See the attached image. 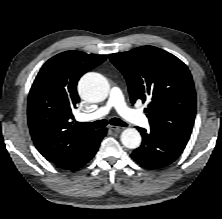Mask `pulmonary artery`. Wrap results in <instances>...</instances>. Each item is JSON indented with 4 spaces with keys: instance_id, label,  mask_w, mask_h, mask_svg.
I'll use <instances>...</instances> for the list:
<instances>
[{
    "instance_id": "1",
    "label": "pulmonary artery",
    "mask_w": 222,
    "mask_h": 219,
    "mask_svg": "<svg viewBox=\"0 0 222 219\" xmlns=\"http://www.w3.org/2000/svg\"><path fill=\"white\" fill-rule=\"evenodd\" d=\"M111 107H114L120 116L130 123L138 126H147L149 124L148 118L141 111L131 109L127 106L121 90L117 87L112 89L109 103L106 106L100 107L91 114L80 115L79 119L81 121L99 119L108 114Z\"/></svg>"
}]
</instances>
